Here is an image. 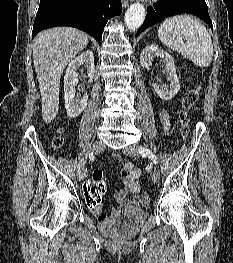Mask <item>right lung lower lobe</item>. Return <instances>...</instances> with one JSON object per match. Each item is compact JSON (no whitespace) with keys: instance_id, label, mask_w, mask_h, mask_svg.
I'll return each mask as SVG.
<instances>
[{"instance_id":"right-lung-lower-lobe-1","label":"right lung lower lobe","mask_w":233,"mask_h":263,"mask_svg":"<svg viewBox=\"0 0 233 263\" xmlns=\"http://www.w3.org/2000/svg\"><path fill=\"white\" fill-rule=\"evenodd\" d=\"M121 12V0H46L39 5L32 36L47 28L71 26L90 34L101 45L108 19Z\"/></svg>"}]
</instances>
